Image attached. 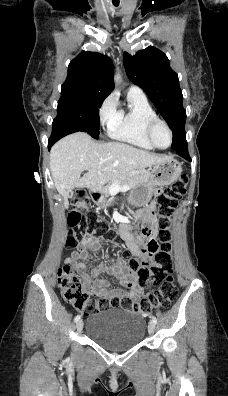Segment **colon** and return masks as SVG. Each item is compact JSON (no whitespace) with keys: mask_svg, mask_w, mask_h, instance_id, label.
<instances>
[{"mask_svg":"<svg viewBox=\"0 0 228 396\" xmlns=\"http://www.w3.org/2000/svg\"><path fill=\"white\" fill-rule=\"evenodd\" d=\"M188 176L182 175L174 183L167 186L157 198L155 215L145 214L139 220V235L137 240L148 253L154 254V261L148 262L137 256H124L134 273L141 288L147 289L152 283L157 288L147 297L136 301L129 296L91 299L84 289L82 278L69 265H63L57 272V284L64 301L72 305L84 315H92L109 308H120L142 314H149L153 309L167 308L177 297V289L171 276L166 273L174 264L172 258L171 220L179 199L186 193ZM73 209L68 213L67 221L70 227L67 245L78 246L87 239L91 229L96 236L103 230V224L98 222L94 213L86 214L89 208L88 195L80 190L73 198ZM157 218L159 243L150 238L151 222Z\"/></svg>","mask_w":228,"mask_h":396,"instance_id":"5ec220e1","label":"colon"}]
</instances>
